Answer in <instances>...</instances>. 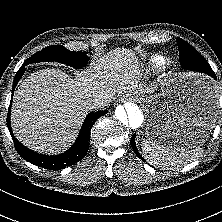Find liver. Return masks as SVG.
Here are the masks:
<instances>
[{"instance_id":"obj_1","label":"liver","mask_w":222,"mask_h":222,"mask_svg":"<svg viewBox=\"0 0 222 222\" xmlns=\"http://www.w3.org/2000/svg\"><path fill=\"white\" fill-rule=\"evenodd\" d=\"M137 59L128 49H115L86 72L72 79L59 69L29 75L14 92L11 126L25 146L48 154L64 151L75 140L88 113L87 102L97 96L111 100L117 93L146 92L138 84Z\"/></svg>"}]
</instances>
